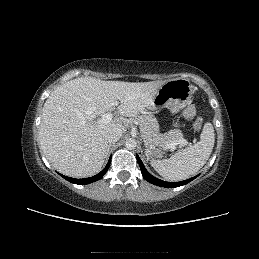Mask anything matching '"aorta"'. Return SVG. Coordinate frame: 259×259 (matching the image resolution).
<instances>
[{"mask_svg":"<svg viewBox=\"0 0 259 259\" xmlns=\"http://www.w3.org/2000/svg\"><path fill=\"white\" fill-rule=\"evenodd\" d=\"M137 146L136 140L133 138L127 139L125 142V147L129 150L135 149Z\"/></svg>","mask_w":259,"mask_h":259,"instance_id":"obj_1","label":"aorta"}]
</instances>
